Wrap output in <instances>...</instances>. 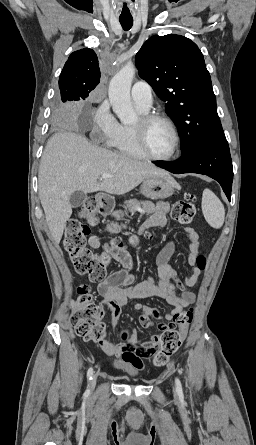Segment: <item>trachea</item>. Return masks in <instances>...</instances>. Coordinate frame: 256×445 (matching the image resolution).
I'll return each instance as SVG.
<instances>
[{
	"label": "trachea",
	"mask_w": 256,
	"mask_h": 445,
	"mask_svg": "<svg viewBox=\"0 0 256 445\" xmlns=\"http://www.w3.org/2000/svg\"><path fill=\"white\" fill-rule=\"evenodd\" d=\"M120 24L125 31H128L133 25V20H120Z\"/></svg>",
	"instance_id": "trachea-1"
}]
</instances>
